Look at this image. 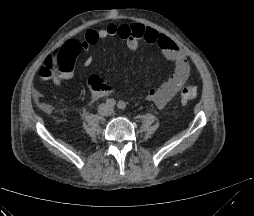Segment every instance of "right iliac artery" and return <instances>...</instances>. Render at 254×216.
Returning a JSON list of instances; mask_svg holds the SVG:
<instances>
[{"label": "right iliac artery", "mask_w": 254, "mask_h": 216, "mask_svg": "<svg viewBox=\"0 0 254 216\" xmlns=\"http://www.w3.org/2000/svg\"><path fill=\"white\" fill-rule=\"evenodd\" d=\"M106 104L109 107H114L115 104H116V101L114 99H112V98H109V99L106 100Z\"/></svg>", "instance_id": "obj_1"}]
</instances>
